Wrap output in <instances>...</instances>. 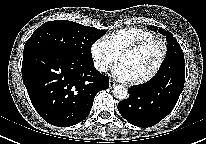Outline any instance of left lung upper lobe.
Listing matches in <instances>:
<instances>
[{
  "instance_id": "1",
  "label": "left lung upper lobe",
  "mask_w": 206,
  "mask_h": 144,
  "mask_svg": "<svg viewBox=\"0 0 206 144\" xmlns=\"http://www.w3.org/2000/svg\"><path fill=\"white\" fill-rule=\"evenodd\" d=\"M153 31H158L160 34L166 36L167 41V53L166 58L163 61V64L161 66V69L156 74L155 77L159 76L163 72H165L170 67H185V60H184V54L183 51L177 42V40L173 37L172 33L168 30L162 29L155 26H151L150 28Z\"/></svg>"
}]
</instances>
